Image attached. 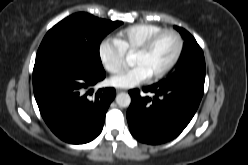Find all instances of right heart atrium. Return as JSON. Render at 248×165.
Returning <instances> with one entry per match:
<instances>
[{
  "label": "right heart atrium",
  "instance_id": "1",
  "mask_svg": "<svg viewBox=\"0 0 248 165\" xmlns=\"http://www.w3.org/2000/svg\"><path fill=\"white\" fill-rule=\"evenodd\" d=\"M98 56L105 70L113 73L121 68L125 52L115 39L106 38L99 44Z\"/></svg>",
  "mask_w": 248,
  "mask_h": 165
}]
</instances>
